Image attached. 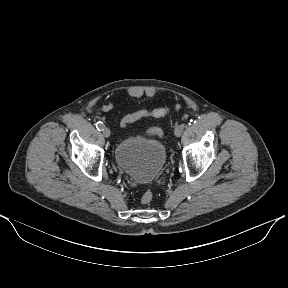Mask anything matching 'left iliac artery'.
<instances>
[{
    "label": "left iliac artery",
    "instance_id": "1",
    "mask_svg": "<svg viewBox=\"0 0 288 288\" xmlns=\"http://www.w3.org/2000/svg\"><path fill=\"white\" fill-rule=\"evenodd\" d=\"M179 128L183 130L185 128V125L184 124H180Z\"/></svg>",
    "mask_w": 288,
    "mask_h": 288
}]
</instances>
